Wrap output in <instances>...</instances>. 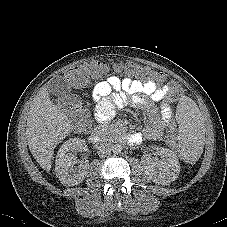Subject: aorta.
Instances as JSON below:
<instances>
[{"label": "aorta", "mask_w": 227, "mask_h": 227, "mask_svg": "<svg viewBox=\"0 0 227 227\" xmlns=\"http://www.w3.org/2000/svg\"><path fill=\"white\" fill-rule=\"evenodd\" d=\"M111 149L114 154H119L122 151V146L120 144H114Z\"/></svg>", "instance_id": "1"}]
</instances>
